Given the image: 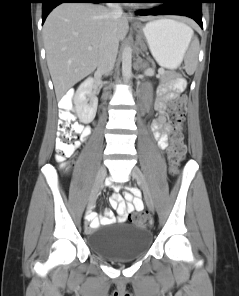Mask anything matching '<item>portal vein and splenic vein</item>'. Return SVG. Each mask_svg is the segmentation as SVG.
Wrapping results in <instances>:
<instances>
[{"label":"portal vein and splenic vein","mask_w":239,"mask_h":296,"mask_svg":"<svg viewBox=\"0 0 239 296\" xmlns=\"http://www.w3.org/2000/svg\"><path fill=\"white\" fill-rule=\"evenodd\" d=\"M88 49H89V50H91V49H92V47H88Z\"/></svg>","instance_id":"18ae733b"}]
</instances>
